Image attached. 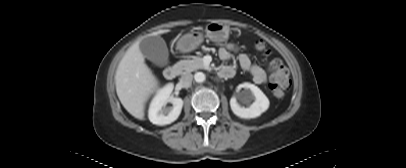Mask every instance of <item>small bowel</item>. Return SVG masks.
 <instances>
[{
    "instance_id": "obj_1",
    "label": "small bowel",
    "mask_w": 406,
    "mask_h": 168,
    "mask_svg": "<svg viewBox=\"0 0 406 168\" xmlns=\"http://www.w3.org/2000/svg\"><path fill=\"white\" fill-rule=\"evenodd\" d=\"M234 55L237 56L238 62L243 70L248 72L252 80L259 85L265 84L267 77L265 71L258 65L252 63L250 57L239 50L238 46L234 44H227L219 49V57L224 60H230ZM224 69H234L231 66H224Z\"/></svg>"
}]
</instances>
